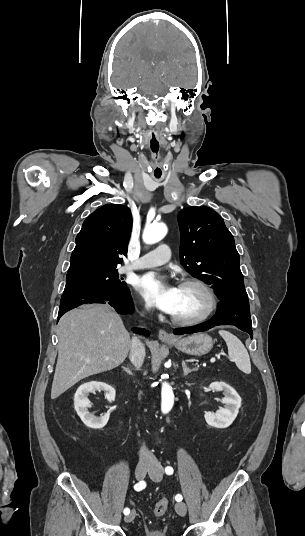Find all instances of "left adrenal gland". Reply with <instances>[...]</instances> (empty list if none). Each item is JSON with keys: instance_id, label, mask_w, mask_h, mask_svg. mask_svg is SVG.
<instances>
[{"instance_id": "1", "label": "left adrenal gland", "mask_w": 305, "mask_h": 536, "mask_svg": "<svg viewBox=\"0 0 305 536\" xmlns=\"http://www.w3.org/2000/svg\"><path fill=\"white\" fill-rule=\"evenodd\" d=\"M183 366V372H184V376H188V374H191V372H194V370H189V368H187L185 362H182Z\"/></svg>"}]
</instances>
